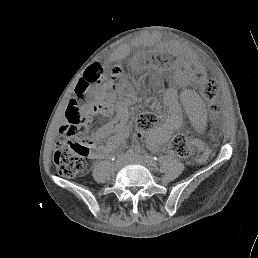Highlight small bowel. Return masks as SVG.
Returning <instances> with one entry per match:
<instances>
[{
  "mask_svg": "<svg viewBox=\"0 0 258 258\" xmlns=\"http://www.w3.org/2000/svg\"><path fill=\"white\" fill-rule=\"evenodd\" d=\"M139 44L134 43L132 47H137ZM129 48V47H127ZM127 48H124L118 52L117 56H120ZM103 88L95 87L88 91L92 99L95 101L93 105L83 111V117L86 123H90L95 115L109 116L113 113V105L107 98L103 96ZM102 136H110V139L102 146L96 147L90 153V157L103 158L108 156L111 152L117 149L121 142L127 137V130L119 124L110 123L102 130ZM159 140L158 136H154L150 142L152 146Z\"/></svg>",
  "mask_w": 258,
  "mask_h": 258,
  "instance_id": "obj_1",
  "label": "small bowel"
}]
</instances>
